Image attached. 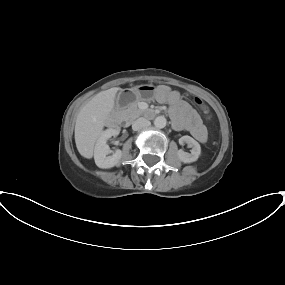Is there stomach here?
I'll return each instance as SVG.
<instances>
[{"label":"stomach","instance_id":"0dacf381","mask_svg":"<svg viewBox=\"0 0 285 285\" xmlns=\"http://www.w3.org/2000/svg\"><path fill=\"white\" fill-rule=\"evenodd\" d=\"M131 101H150L154 97L155 87L153 85H139L130 90Z\"/></svg>","mask_w":285,"mask_h":285}]
</instances>
